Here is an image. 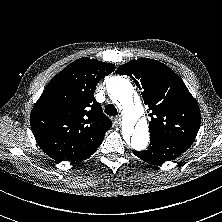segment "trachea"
Wrapping results in <instances>:
<instances>
[{
  "mask_svg": "<svg viewBox=\"0 0 222 222\" xmlns=\"http://www.w3.org/2000/svg\"><path fill=\"white\" fill-rule=\"evenodd\" d=\"M105 113L109 116H116L118 114V111L114 105L108 104L105 107Z\"/></svg>",
  "mask_w": 222,
  "mask_h": 222,
  "instance_id": "3493384b",
  "label": "trachea"
}]
</instances>
